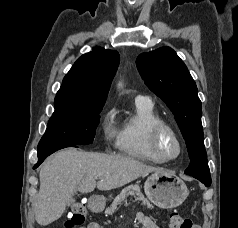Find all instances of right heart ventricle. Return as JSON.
I'll use <instances>...</instances> for the list:
<instances>
[{
    "instance_id": "obj_1",
    "label": "right heart ventricle",
    "mask_w": 238,
    "mask_h": 228,
    "mask_svg": "<svg viewBox=\"0 0 238 228\" xmlns=\"http://www.w3.org/2000/svg\"><path fill=\"white\" fill-rule=\"evenodd\" d=\"M163 119L150 100H138L134 102V112L125 118L118 132L117 148L128 156L152 163H163L151 151L149 136L154 125Z\"/></svg>"
}]
</instances>
